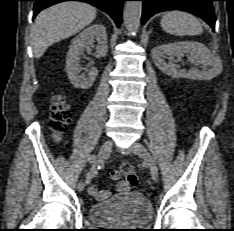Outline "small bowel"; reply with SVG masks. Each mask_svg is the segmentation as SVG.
<instances>
[{"label":"small bowel","mask_w":234,"mask_h":231,"mask_svg":"<svg viewBox=\"0 0 234 231\" xmlns=\"http://www.w3.org/2000/svg\"><path fill=\"white\" fill-rule=\"evenodd\" d=\"M130 189L129 184L126 181H118L116 184V191L119 193H126ZM88 193L91 197H93L97 201H101L106 199L110 192L109 191H101L99 192L95 185H90L88 187Z\"/></svg>","instance_id":"small-bowel-1"}]
</instances>
